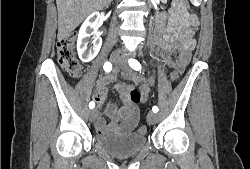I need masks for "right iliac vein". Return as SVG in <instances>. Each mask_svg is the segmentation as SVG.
Wrapping results in <instances>:
<instances>
[{"label":"right iliac vein","instance_id":"obj_1","mask_svg":"<svg viewBox=\"0 0 250 169\" xmlns=\"http://www.w3.org/2000/svg\"><path fill=\"white\" fill-rule=\"evenodd\" d=\"M110 60L115 64H119V62H120V58L116 54H112L110 57ZM88 114H89L90 121H94L96 119L98 113H97L96 109H93V110H90Z\"/></svg>","mask_w":250,"mask_h":169}]
</instances>
